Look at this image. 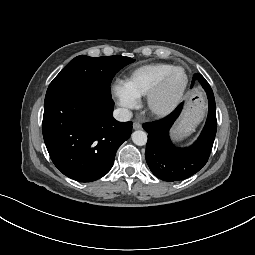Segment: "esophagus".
<instances>
[{
	"label": "esophagus",
	"instance_id": "34e87169",
	"mask_svg": "<svg viewBox=\"0 0 255 255\" xmlns=\"http://www.w3.org/2000/svg\"><path fill=\"white\" fill-rule=\"evenodd\" d=\"M142 125L139 122H134L133 123V129L137 130V129H141Z\"/></svg>",
	"mask_w": 255,
	"mask_h": 255
}]
</instances>
